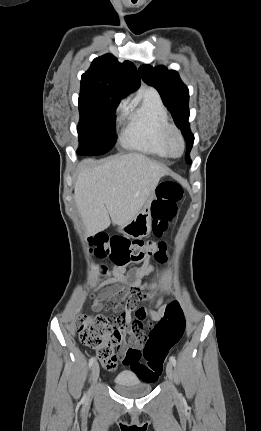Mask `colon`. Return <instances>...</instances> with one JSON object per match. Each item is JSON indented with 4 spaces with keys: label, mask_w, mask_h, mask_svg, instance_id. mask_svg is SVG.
I'll list each match as a JSON object with an SVG mask.
<instances>
[{
    "label": "colon",
    "mask_w": 261,
    "mask_h": 431,
    "mask_svg": "<svg viewBox=\"0 0 261 431\" xmlns=\"http://www.w3.org/2000/svg\"><path fill=\"white\" fill-rule=\"evenodd\" d=\"M182 197L183 190L175 182L167 181L158 186L157 196L151 207L152 228L156 237H161L166 232ZM90 244L97 257H108L119 267L149 257H154L158 262L166 260L165 244L154 240L130 241L123 236L109 237L98 234L91 239ZM105 270V267L101 268V272ZM120 319L112 321L102 315L81 314L75 321V328L81 341L97 350L107 369L116 366L117 353L122 347V335L115 327L116 324L119 325ZM184 331L185 318L181 307L177 302H169L164 309L163 317L150 332L143 353L132 349L127 352L130 360L126 362V367L132 369L134 375H138L141 383L155 385L161 380L163 362L168 351L181 340ZM141 355L146 364L139 362Z\"/></svg>",
    "instance_id": "obj_1"
}]
</instances>
